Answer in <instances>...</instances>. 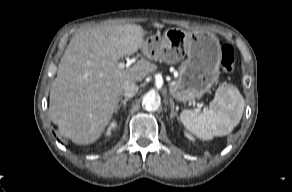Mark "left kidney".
Segmentation results:
<instances>
[{
	"label": "left kidney",
	"mask_w": 292,
	"mask_h": 192,
	"mask_svg": "<svg viewBox=\"0 0 292 192\" xmlns=\"http://www.w3.org/2000/svg\"><path fill=\"white\" fill-rule=\"evenodd\" d=\"M186 137H188L189 139H193V137L189 135L188 133H186Z\"/></svg>",
	"instance_id": "5707ae66"
}]
</instances>
